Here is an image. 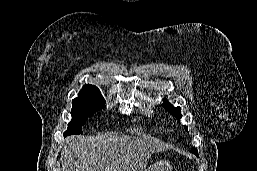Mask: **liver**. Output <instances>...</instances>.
<instances>
[{
    "label": "liver",
    "instance_id": "liver-1",
    "mask_svg": "<svg viewBox=\"0 0 257 171\" xmlns=\"http://www.w3.org/2000/svg\"><path fill=\"white\" fill-rule=\"evenodd\" d=\"M166 146L150 137L107 133L71 136L62 147V171H147L148 159Z\"/></svg>",
    "mask_w": 257,
    "mask_h": 171
}]
</instances>
